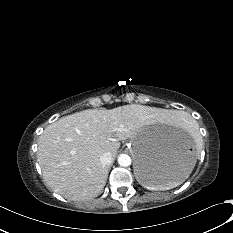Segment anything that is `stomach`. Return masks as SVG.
I'll list each match as a JSON object with an SVG mask.
<instances>
[{
  "mask_svg": "<svg viewBox=\"0 0 233 233\" xmlns=\"http://www.w3.org/2000/svg\"><path fill=\"white\" fill-rule=\"evenodd\" d=\"M137 180L147 188L183 181L193 170L197 151L194 142L157 125L138 131L130 140ZM147 170L149 174H144Z\"/></svg>",
  "mask_w": 233,
  "mask_h": 233,
  "instance_id": "0dacf381",
  "label": "stomach"
}]
</instances>
